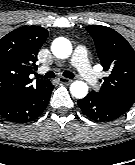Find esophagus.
Masks as SVG:
<instances>
[{"instance_id":"34e87169","label":"esophagus","mask_w":135,"mask_h":165,"mask_svg":"<svg viewBox=\"0 0 135 165\" xmlns=\"http://www.w3.org/2000/svg\"><path fill=\"white\" fill-rule=\"evenodd\" d=\"M58 81L62 84H70L72 82V80L65 78V77L58 78Z\"/></svg>"}]
</instances>
